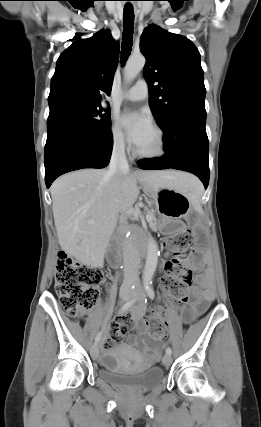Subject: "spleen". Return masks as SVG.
Instances as JSON below:
<instances>
[{"instance_id": "spleen-1", "label": "spleen", "mask_w": 261, "mask_h": 427, "mask_svg": "<svg viewBox=\"0 0 261 427\" xmlns=\"http://www.w3.org/2000/svg\"><path fill=\"white\" fill-rule=\"evenodd\" d=\"M203 194V189L198 180L191 181L188 187V196L194 204H198Z\"/></svg>"}]
</instances>
